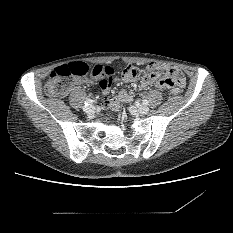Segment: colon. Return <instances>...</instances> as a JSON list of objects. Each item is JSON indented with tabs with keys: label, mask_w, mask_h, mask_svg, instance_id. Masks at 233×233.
<instances>
[{
	"label": "colon",
	"mask_w": 233,
	"mask_h": 233,
	"mask_svg": "<svg viewBox=\"0 0 233 233\" xmlns=\"http://www.w3.org/2000/svg\"><path fill=\"white\" fill-rule=\"evenodd\" d=\"M135 67L129 65L125 67L121 76L124 81H130L136 76ZM113 73V68L107 65H90L84 61H77L53 70L50 74L46 85V94L49 96L65 95L73 86L74 81L78 77L92 75L95 77L105 78ZM180 90H174V93H179Z\"/></svg>",
	"instance_id": "5ec220e1"
}]
</instances>
